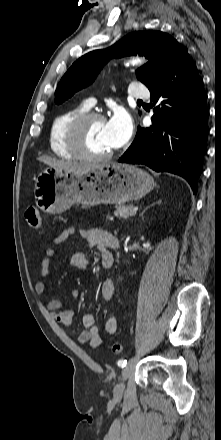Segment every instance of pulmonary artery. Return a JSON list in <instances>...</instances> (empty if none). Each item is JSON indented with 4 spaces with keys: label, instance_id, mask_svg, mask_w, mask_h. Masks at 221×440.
I'll list each match as a JSON object with an SVG mask.
<instances>
[{
    "label": "pulmonary artery",
    "instance_id": "pulmonary-artery-1",
    "mask_svg": "<svg viewBox=\"0 0 221 440\" xmlns=\"http://www.w3.org/2000/svg\"><path fill=\"white\" fill-rule=\"evenodd\" d=\"M128 95L135 99H146L149 97L150 92L148 89L134 84L128 88ZM87 103L92 106L94 105L95 100L91 98L87 101Z\"/></svg>",
    "mask_w": 221,
    "mask_h": 440
}]
</instances>
